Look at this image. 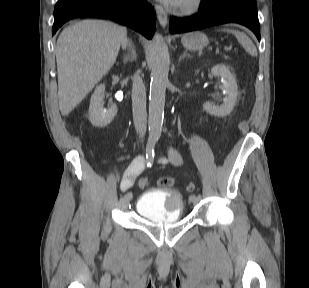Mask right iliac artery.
<instances>
[{
  "mask_svg": "<svg viewBox=\"0 0 309 288\" xmlns=\"http://www.w3.org/2000/svg\"><path fill=\"white\" fill-rule=\"evenodd\" d=\"M154 146H155V140L150 139L147 143L146 147V159H147V169L149 166H151V162L153 161L154 158ZM132 195V190H127V193L125 194L126 198H130Z\"/></svg>",
  "mask_w": 309,
  "mask_h": 288,
  "instance_id": "obj_1",
  "label": "right iliac artery"
}]
</instances>
